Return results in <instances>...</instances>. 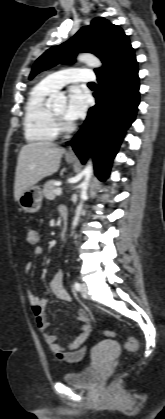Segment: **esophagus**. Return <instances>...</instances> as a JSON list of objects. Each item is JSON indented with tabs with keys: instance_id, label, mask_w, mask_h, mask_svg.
Wrapping results in <instances>:
<instances>
[{
	"instance_id": "1",
	"label": "esophagus",
	"mask_w": 165,
	"mask_h": 419,
	"mask_svg": "<svg viewBox=\"0 0 165 419\" xmlns=\"http://www.w3.org/2000/svg\"><path fill=\"white\" fill-rule=\"evenodd\" d=\"M66 155H67V156H69V157H75V153H74V151L72 150V148H70V149L67 151Z\"/></svg>"
}]
</instances>
